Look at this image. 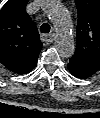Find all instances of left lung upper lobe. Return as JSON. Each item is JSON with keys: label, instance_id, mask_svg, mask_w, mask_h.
Wrapping results in <instances>:
<instances>
[{"label": "left lung upper lobe", "instance_id": "1", "mask_svg": "<svg viewBox=\"0 0 100 118\" xmlns=\"http://www.w3.org/2000/svg\"><path fill=\"white\" fill-rule=\"evenodd\" d=\"M78 11L76 52L71 62L100 70V0H75Z\"/></svg>", "mask_w": 100, "mask_h": 118}]
</instances>
